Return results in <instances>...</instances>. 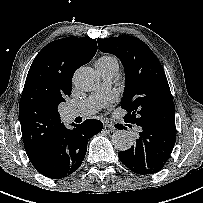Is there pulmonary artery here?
I'll return each instance as SVG.
<instances>
[{
  "label": "pulmonary artery",
  "mask_w": 203,
  "mask_h": 203,
  "mask_svg": "<svg viewBox=\"0 0 203 203\" xmlns=\"http://www.w3.org/2000/svg\"><path fill=\"white\" fill-rule=\"evenodd\" d=\"M103 83L101 86L93 92L87 99L77 103L66 110V118L73 119L78 116H87L95 113L105 101L107 95L110 92L111 85L113 83L116 74L100 71Z\"/></svg>",
  "instance_id": "e3ab8cb5"
}]
</instances>
